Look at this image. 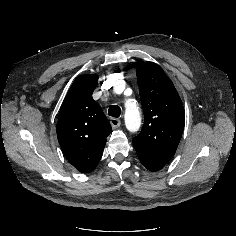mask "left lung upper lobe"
Wrapping results in <instances>:
<instances>
[{"label": "left lung upper lobe", "instance_id": "obj_1", "mask_svg": "<svg viewBox=\"0 0 236 236\" xmlns=\"http://www.w3.org/2000/svg\"><path fill=\"white\" fill-rule=\"evenodd\" d=\"M144 125L133 139L137 153L169 162L174 156L185 125V111L173 83L153 62L137 68Z\"/></svg>", "mask_w": 236, "mask_h": 236}]
</instances>
